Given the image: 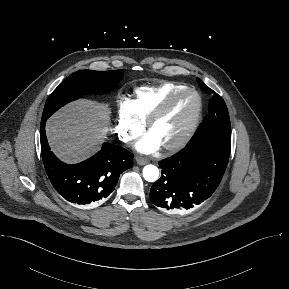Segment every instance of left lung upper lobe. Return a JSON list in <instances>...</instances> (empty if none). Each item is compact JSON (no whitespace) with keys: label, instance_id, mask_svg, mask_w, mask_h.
Instances as JSON below:
<instances>
[{"label":"left lung upper lobe","instance_id":"left-lung-upper-lobe-1","mask_svg":"<svg viewBox=\"0 0 289 289\" xmlns=\"http://www.w3.org/2000/svg\"><path fill=\"white\" fill-rule=\"evenodd\" d=\"M197 81L202 91L211 94V99L209 101L208 115L189 143L209 138L231 139L230 118L224 100L200 79L197 78Z\"/></svg>","mask_w":289,"mask_h":289}]
</instances>
